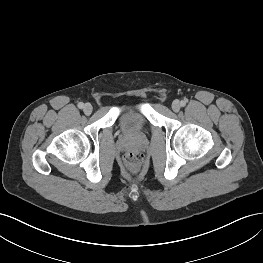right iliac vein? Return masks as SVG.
<instances>
[{"mask_svg": "<svg viewBox=\"0 0 263 263\" xmlns=\"http://www.w3.org/2000/svg\"><path fill=\"white\" fill-rule=\"evenodd\" d=\"M83 111L86 115H90L93 111V107L90 103H86L83 107Z\"/></svg>", "mask_w": 263, "mask_h": 263, "instance_id": "63e3f726", "label": "right iliac vein"}]
</instances>
